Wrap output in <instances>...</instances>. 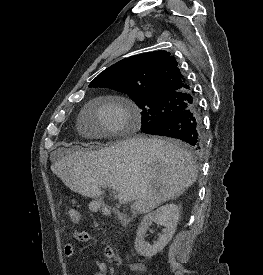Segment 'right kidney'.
Returning a JSON list of instances; mask_svg holds the SVG:
<instances>
[{
	"instance_id": "1",
	"label": "right kidney",
	"mask_w": 263,
	"mask_h": 275,
	"mask_svg": "<svg viewBox=\"0 0 263 275\" xmlns=\"http://www.w3.org/2000/svg\"><path fill=\"white\" fill-rule=\"evenodd\" d=\"M179 211V207L172 203L161 206L156 211L143 217L135 239V249L141 256L151 258L170 242L179 220ZM153 223L164 226V233L159 236V239L153 245H149L144 241V237Z\"/></svg>"
}]
</instances>
